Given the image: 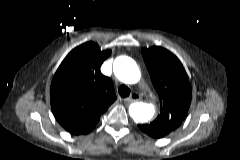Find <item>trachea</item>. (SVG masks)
Segmentation results:
<instances>
[{"mask_svg": "<svg viewBox=\"0 0 240 160\" xmlns=\"http://www.w3.org/2000/svg\"><path fill=\"white\" fill-rule=\"evenodd\" d=\"M118 93L122 98H126L130 95V89L126 85H121L118 88Z\"/></svg>", "mask_w": 240, "mask_h": 160, "instance_id": "obj_1", "label": "trachea"}]
</instances>
